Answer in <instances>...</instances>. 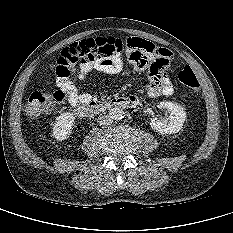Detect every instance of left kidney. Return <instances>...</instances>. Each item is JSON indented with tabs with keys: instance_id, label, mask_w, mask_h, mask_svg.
I'll list each match as a JSON object with an SVG mask.
<instances>
[{
	"instance_id": "left-kidney-1",
	"label": "left kidney",
	"mask_w": 233,
	"mask_h": 233,
	"mask_svg": "<svg viewBox=\"0 0 233 233\" xmlns=\"http://www.w3.org/2000/svg\"><path fill=\"white\" fill-rule=\"evenodd\" d=\"M158 106L166 109L169 115L167 118L160 120L157 118L151 119V128L165 135L178 133L186 120L185 109L177 103L170 101H162Z\"/></svg>"
}]
</instances>
